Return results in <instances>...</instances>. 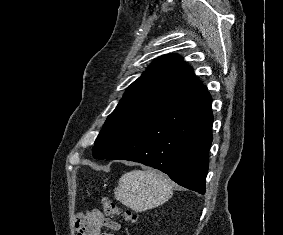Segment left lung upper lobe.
<instances>
[{
    "mask_svg": "<svg viewBox=\"0 0 283 235\" xmlns=\"http://www.w3.org/2000/svg\"><path fill=\"white\" fill-rule=\"evenodd\" d=\"M202 86L174 54L157 58L126 90L95 140L93 156L107 158L154 118Z\"/></svg>",
    "mask_w": 283,
    "mask_h": 235,
    "instance_id": "obj_1",
    "label": "left lung upper lobe"
}]
</instances>
